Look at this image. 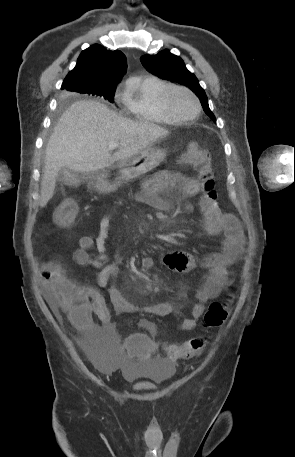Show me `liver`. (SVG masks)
<instances>
[{"label":"liver","instance_id":"liver-1","mask_svg":"<svg viewBox=\"0 0 295 457\" xmlns=\"http://www.w3.org/2000/svg\"><path fill=\"white\" fill-rule=\"evenodd\" d=\"M168 133L154 123L123 118L97 101L75 102L59 119L47 144L40 207L53 197L62 168L99 171L151 147ZM111 142L120 145L113 155L108 148Z\"/></svg>","mask_w":295,"mask_h":457}]
</instances>
